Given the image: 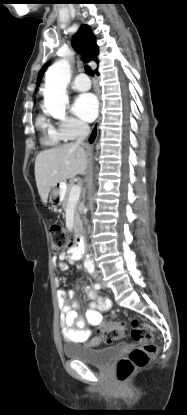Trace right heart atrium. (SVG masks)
I'll use <instances>...</instances> for the list:
<instances>
[{"mask_svg":"<svg viewBox=\"0 0 187 415\" xmlns=\"http://www.w3.org/2000/svg\"><path fill=\"white\" fill-rule=\"evenodd\" d=\"M58 128L65 140H74L87 131V126L73 117H67L62 120L59 123Z\"/></svg>","mask_w":187,"mask_h":415,"instance_id":"obj_1","label":"right heart atrium"}]
</instances>
